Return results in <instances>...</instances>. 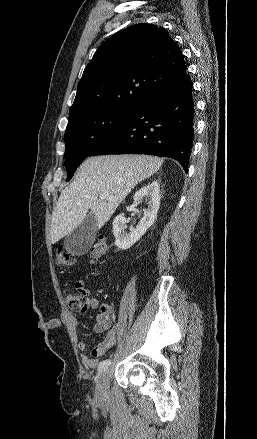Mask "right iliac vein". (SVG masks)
<instances>
[{
  "label": "right iliac vein",
  "mask_w": 257,
  "mask_h": 439,
  "mask_svg": "<svg viewBox=\"0 0 257 439\" xmlns=\"http://www.w3.org/2000/svg\"><path fill=\"white\" fill-rule=\"evenodd\" d=\"M109 393V371L105 370L98 379L95 398L97 401H105Z\"/></svg>",
  "instance_id": "63e3f726"
}]
</instances>
